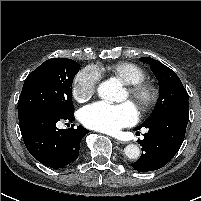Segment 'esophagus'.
<instances>
[{"mask_svg": "<svg viewBox=\"0 0 201 201\" xmlns=\"http://www.w3.org/2000/svg\"><path fill=\"white\" fill-rule=\"evenodd\" d=\"M116 143L117 144H126L127 142L126 141H121V140H116Z\"/></svg>", "mask_w": 201, "mask_h": 201, "instance_id": "34e87169", "label": "esophagus"}]
</instances>
